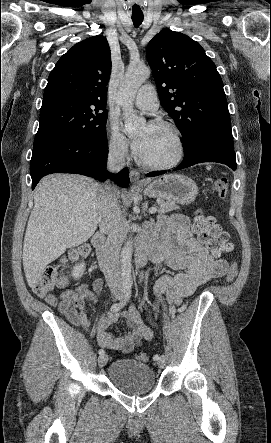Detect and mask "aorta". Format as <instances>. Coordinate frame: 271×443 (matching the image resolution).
Segmentation results:
<instances>
[{"label": "aorta", "instance_id": "obj_1", "mask_svg": "<svg viewBox=\"0 0 271 443\" xmlns=\"http://www.w3.org/2000/svg\"><path fill=\"white\" fill-rule=\"evenodd\" d=\"M150 68L147 66H131L128 68L123 82L118 90V102L124 112V124L126 132H138L144 126L146 120L143 116H138L133 110L134 98L143 82L149 78ZM132 237H128L122 247L120 255V269L123 281H132Z\"/></svg>", "mask_w": 271, "mask_h": 443}]
</instances>
